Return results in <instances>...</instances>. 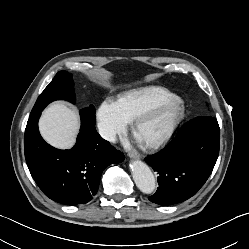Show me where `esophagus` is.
Wrapping results in <instances>:
<instances>
[{
  "instance_id": "1",
  "label": "esophagus",
  "mask_w": 249,
  "mask_h": 249,
  "mask_svg": "<svg viewBox=\"0 0 249 249\" xmlns=\"http://www.w3.org/2000/svg\"><path fill=\"white\" fill-rule=\"evenodd\" d=\"M128 156L132 159H138L140 158V153L136 150H133L128 153Z\"/></svg>"
}]
</instances>
